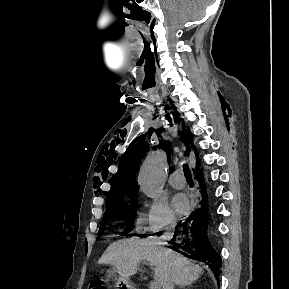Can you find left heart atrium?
<instances>
[{"label": "left heart atrium", "mask_w": 289, "mask_h": 289, "mask_svg": "<svg viewBox=\"0 0 289 289\" xmlns=\"http://www.w3.org/2000/svg\"><path fill=\"white\" fill-rule=\"evenodd\" d=\"M173 210L177 214H184L188 210V201L184 194L177 193L171 200Z\"/></svg>", "instance_id": "left-heart-atrium-1"}]
</instances>
